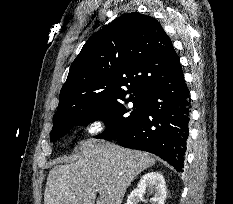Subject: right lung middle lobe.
<instances>
[{"label":"right lung middle lobe","mask_w":233,"mask_h":204,"mask_svg":"<svg viewBox=\"0 0 233 204\" xmlns=\"http://www.w3.org/2000/svg\"><path fill=\"white\" fill-rule=\"evenodd\" d=\"M121 100H125V98L108 101L90 110L79 111L61 122L53 123L50 141L59 139L74 126H83L99 119L105 122L107 128L102 134L96 136L97 138L108 140L127 130L143 113L146 97H129L126 102H133L131 110H127Z\"/></svg>","instance_id":"right-lung-middle-lobe-1"}]
</instances>
